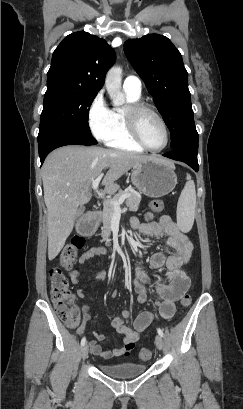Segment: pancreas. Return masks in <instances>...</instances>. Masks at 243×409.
I'll return each mask as SVG.
<instances>
[{
	"instance_id": "pancreas-1",
	"label": "pancreas",
	"mask_w": 243,
	"mask_h": 409,
	"mask_svg": "<svg viewBox=\"0 0 243 409\" xmlns=\"http://www.w3.org/2000/svg\"><path fill=\"white\" fill-rule=\"evenodd\" d=\"M128 194L129 197L126 198L125 204L129 208L130 211H137L139 208V204L141 201V196L137 193L131 192V191H126V190H120L111 200L118 201L123 195ZM114 208L113 206L105 202L103 205V211H102V221H103V226H102V237L103 240L106 242H109V236L111 234V220L114 215Z\"/></svg>"
}]
</instances>
